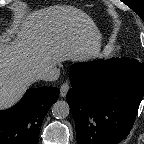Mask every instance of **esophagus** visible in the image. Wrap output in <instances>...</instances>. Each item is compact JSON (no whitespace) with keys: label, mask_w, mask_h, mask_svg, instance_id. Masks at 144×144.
Listing matches in <instances>:
<instances>
[{"label":"esophagus","mask_w":144,"mask_h":144,"mask_svg":"<svg viewBox=\"0 0 144 144\" xmlns=\"http://www.w3.org/2000/svg\"><path fill=\"white\" fill-rule=\"evenodd\" d=\"M69 89H70L69 83H68V82L63 83V84L61 85V87H60V96H61V97H66Z\"/></svg>","instance_id":"esophagus-1"}]
</instances>
